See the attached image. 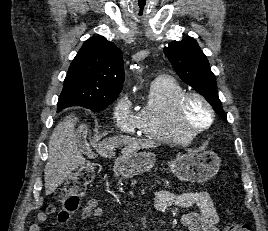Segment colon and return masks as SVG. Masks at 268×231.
I'll return each instance as SVG.
<instances>
[{"mask_svg": "<svg viewBox=\"0 0 268 231\" xmlns=\"http://www.w3.org/2000/svg\"><path fill=\"white\" fill-rule=\"evenodd\" d=\"M95 170L96 169L93 165L80 169L62 188L58 190L56 193V199L62 204L61 208L56 212V219L58 222L63 223L67 221L71 214L78 209L80 199L87 191L93 179ZM49 210L53 211L54 208L50 207ZM228 230L252 231V227L250 224L246 223H233L229 225Z\"/></svg>", "mask_w": 268, "mask_h": 231, "instance_id": "5ec220e1", "label": "colon"}]
</instances>
